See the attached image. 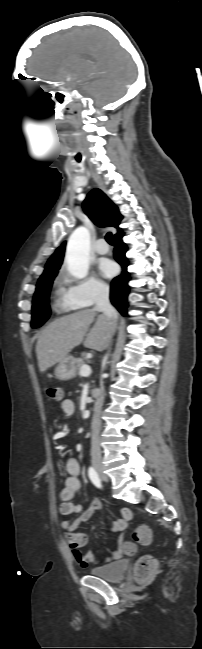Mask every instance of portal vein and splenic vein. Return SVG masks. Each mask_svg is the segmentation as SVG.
<instances>
[{"label":"portal vein and splenic vein","mask_w":202,"mask_h":649,"mask_svg":"<svg viewBox=\"0 0 202 649\" xmlns=\"http://www.w3.org/2000/svg\"><path fill=\"white\" fill-rule=\"evenodd\" d=\"M91 374V368L88 365H83L80 369V375L89 376Z\"/></svg>","instance_id":"obj_1"}]
</instances>
